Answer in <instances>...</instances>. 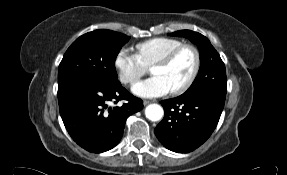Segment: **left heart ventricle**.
<instances>
[{
  "label": "left heart ventricle",
  "instance_id": "obj_1",
  "mask_svg": "<svg viewBox=\"0 0 287 175\" xmlns=\"http://www.w3.org/2000/svg\"><path fill=\"white\" fill-rule=\"evenodd\" d=\"M195 64L194 53L190 49L181 51L169 64L155 66L153 75L161 76L171 90L180 87L191 75Z\"/></svg>",
  "mask_w": 287,
  "mask_h": 175
}]
</instances>
